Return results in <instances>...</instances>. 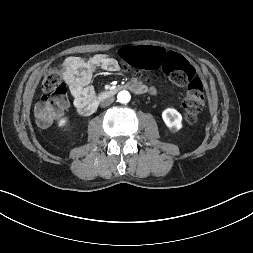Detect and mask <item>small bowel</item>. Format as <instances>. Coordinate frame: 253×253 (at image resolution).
Returning a JSON list of instances; mask_svg holds the SVG:
<instances>
[{
	"instance_id": "small-bowel-1",
	"label": "small bowel",
	"mask_w": 253,
	"mask_h": 253,
	"mask_svg": "<svg viewBox=\"0 0 253 253\" xmlns=\"http://www.w3.org/2000/svg\"><path fill=\"white\" fill-rule=\"evenodd\" d=\"M152 47L150 45H140ZM163 48V47H161ZM170 53V52H169ZM170 66L168 67V69ZM102 69L106 72H117L120 69L118 61L106 54H95L89 58L80 56H69L64 62V79L69 87L70 93L74 98V104L78 108L91 101L95 97V91L90 85L93 74ZM131 86L136 93L155 94L156 89L145 85L139 78L134 77Z\"/></svg>"
}]
</instances>
